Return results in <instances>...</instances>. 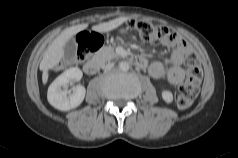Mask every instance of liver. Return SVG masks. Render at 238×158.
<instances>
[{
    "label": "liver",
    "instance_id": "liver-1",
    "mask_svg": "<svg viewBox=\"0 0 238 158\" xmlns=\"http://www.w3.org/2000/svg\"><path fill=\"white\" fill-rule=\"evenodd\" d=\"M127 18L120 17L109 22L101 23L92 29L97 32H108L125 22ZM88 24H80L65 29L54 41L48 46L40 63L42 70V82L46 84L49 78L48 71L57 65L64 56L63 47L66 42L77 33L85 30Z\"/></svg>",
    "mask_w": 238,
    "mask_h": 158
}]
</instances>
